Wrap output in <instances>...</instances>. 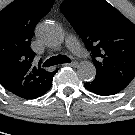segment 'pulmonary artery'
<instances>
[{
	"label": "pulmonary artery",
	"mask_w": 135,
	"mask_h": 135,
	"mask_svg": "<svg viewBox=\"0 0 135 135\" xmlns=\"http://www.w3.org/2000/svg\"><path fill=\"white\" fill-rule=\"evenodd\" d=\"M67 45L69 49L76 55H80L82 53L81 45L75 36L73 35L68 36Z\"/></svg>",
	"instance_id": "obj_1"
}]
</instances>
